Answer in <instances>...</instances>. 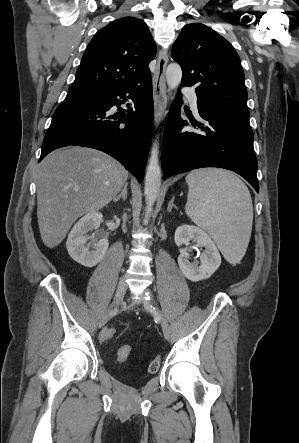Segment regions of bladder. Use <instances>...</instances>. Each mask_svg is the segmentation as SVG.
I'll list each match as a JSON object with an SVG mask.
<instances>
[{
    "label": "bladder",
    "instance_id": "1",
    "mask_svg": "<svg viewBox=\"0 0 299 443\" xmlns=\"http://www.w3.org/2000/svg\"><path fill=\"white\" fill-rule=\"evenodd\" d=\"M121 377L129 382H136L140 379L139 375L130 372L122 374Z\"/></svg>",
    "mask_w": 299,
    "mask_h": 443
}]
</instances>
